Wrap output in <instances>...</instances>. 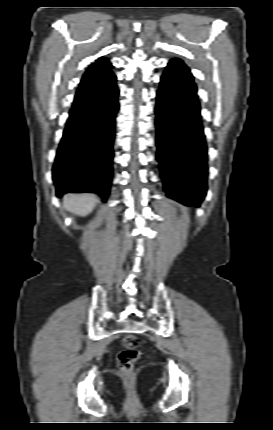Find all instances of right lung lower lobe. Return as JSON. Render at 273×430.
<instances>
[{
  "instance_id": "right-lung-lower-lobe-1",
  "label": "right lung lower lobe",
  "mask_w": 273,
  "mask_h": 430,
  "mask_svg": "<svg viewBox=\"0 0 273 430\" xmlns=\"http://www.w3.org/2000/svg\"><path fill=\"white\" fill-rule=\"evenodd\" d=\"M119 90L112 75L74 102L59 145L52 177L57 196L94 192L106 202L111 186Z\"/></svg>"
}]
</instances>
